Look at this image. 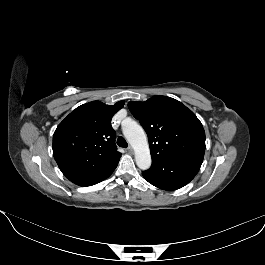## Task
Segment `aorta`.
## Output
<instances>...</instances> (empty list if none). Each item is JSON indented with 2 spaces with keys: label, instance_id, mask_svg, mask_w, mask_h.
I'll return each mask as SVG.
<instances>
[{
  "label": "aorta",
  "instance_id": "1",
  "mask_svg": "<svg viewBox=\"0 0 265 265\" xmlns=\"http://www.w3.org/2000/svg\"><path fill=\"white\" fill-rule=\"evenodd\" d=\"M123 134L135 152V161L141 170H147L151 167V155L149 144L143 128L135 121L130 120L123 125Z\"/></svg>",
  "mask_w": 265,
  "mask_h": 265
}]
</instances>
